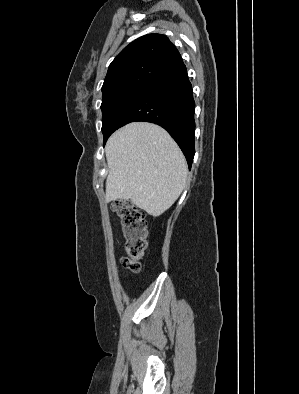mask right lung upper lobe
Returning a JSON list of instances; mask_svg holds the SVG:
<instances>
[{"label": "right lung upper lobe", "instance_id": "right-lung-upper-lobe-1", "mask_svg": "<svg viewBox=\"0 0 299 394\" xmlns=\"http://www.w3.org/2000/svg\"><path fill=\"white\" fill-rule=\"evenodd\" d=\"M183 64L172 42L161 34L144 35L127 45L112 61L102 92L124 84H147Z\"/></svg>", "mask_w": 299, "mask_h": 394}]
</instances>
